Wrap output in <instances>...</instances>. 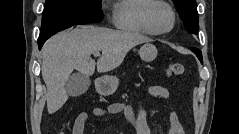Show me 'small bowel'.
Listing matches in <instances>:
<instances>
[{
    "label": "small bowel",
    "mask_w": 239,
    "mask_h": 134,
    "mask_svg": "<svg viewBox=\"0 0 239 134\" xmlns=\"http://www.w3.org/2000/svg\"><path fill=\"white\" fill-rule=\"evenodd\" d=\"M148 94L155 99L169 98V91L163 86L151 85L148 87ZM92 113L98 117H110L122 113L130 126L137 134H150V129L144 116L142 105H125L123 103H111L103 107L95 108ZM89 113L80 112L73 123L72 134H84L85 125ZM166 134H183V126L178 114L172 111L169 114V123L165 131Z\"/></svg>",
    "instance_id": "c3829d8e"
}]
</instances>
